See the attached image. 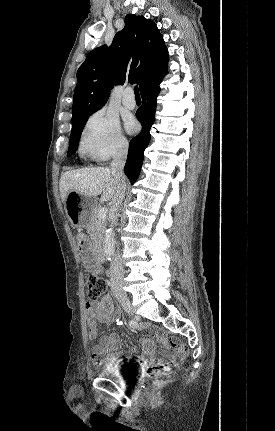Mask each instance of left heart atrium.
<instances>
[{
	"label": "left heart atrium",
	"mask_w": 275,
	"mask_h": 431,
	"mask_svg": "<svg viewBox=\"0 0 275 431\" xmlns=\"http://www.w3.org/2000/svg\"><path fill=\"white\" fill-rule=\"evenodd\" d=\"M126 125L130 132H135L138 130V123L133 118L128 119Z\"/></svg>",
	"instance_id": "left-heart-atrium-1"
}]
</instances>
